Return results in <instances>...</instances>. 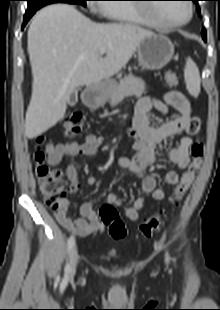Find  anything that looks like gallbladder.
<instances>
[{
  "label": "gallbladder",
  "instance_id": "gallbladder-1",
  "mask_svg": "<svg viewBox=\"0 0 220 310\" xmlns=\"http://www.w3.org/2000/svg\"><path fill=\"white\" fill-rule=\"evenodd\" d=\"M78 102V91L77 89H75L71 94H70V97H69V100L67 102V104L70 106V107H73L76 105V103Z\"/></svg>",
  "mask_w": 220,
  "mask_h": 310
}]
</instances>
